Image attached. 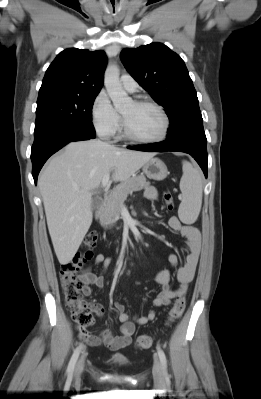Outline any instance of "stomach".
<instances>
[{"instance_id":"obj_1","label":"stomach","mask_w":261,"mask_h":399,"mask_svg":"<svg viewBox=\"0 0 261 399\" xmlns=\"http://www.w3.org/2000/svg\"><path fill=\"white\" fill-rule=\"evenodd\" d=\"M143 173L150 179L158 181L165 179L169 174L165 163L158 158H152L146 162L143 165Z\"/></svg>"}]
</instances>
